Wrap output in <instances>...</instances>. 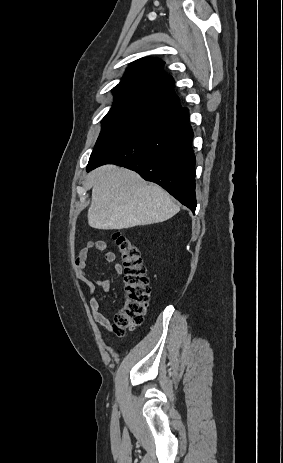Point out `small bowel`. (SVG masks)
<instances>
[{"mask_svg": "<svg viewBox=\"0 0 283 463\" xmlns=\"http://www.w3.org/2000/svg\"><path fill=\"white\" fill-rule=\"evenodd\" d=\"M94 248L97 251L105 252V260L109 263H114V270L120 274L123 272V267L120 263L116 262V255L114 252L108 250V243L105 240H97L95 242H88L78 253L74 260V270L77 278L86 286L90 295V309L94 321L105 329L111 326L110 320L100 312V302L96 294V289L99 287L103 292H108L110 288L109 280L107 279H92L86 273L89 251Z\"/></svg>", "mask_w": 283, "mask_h": 463, "instance_id": "obj_1", "label": "small bowel"}]
</instances>
